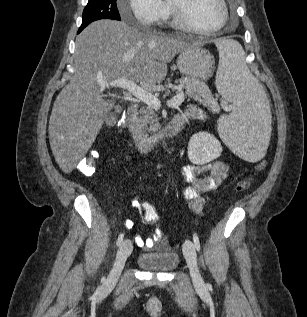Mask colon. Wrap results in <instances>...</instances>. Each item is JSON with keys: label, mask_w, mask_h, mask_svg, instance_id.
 <instances>
[{"label": "colon", "mask_w": 307, "mask_h": 317, "mask_svg": "<svg viewBox=\"0 0 307 317\" xmlns=\"http://www.w3.org/2000/svg\"><path fill=\"white\" fill-rule=\"evenodd\" d=\"M116 126L119 132H124L127 128V122L124 118H120L116 121ZM98 160V153L96 151H89L83 159L80 161L78 168L85 175H93L96 171V164ZM266 168L265 162H260L255 166V171L260 172ZM252 183V177H247L240 180L235 189L239 192L245 191L250 188ZM144 220L155 227L159 226L160 218L155 208L148 202L142 203Z\"/></svg>", "instance_id": "colon-1"}]
</instances>
